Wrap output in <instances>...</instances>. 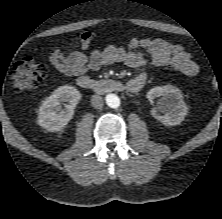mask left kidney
I'll list each match as a JSON object with an SVG mask.
<instances>
[{
	"label": "left kidney",
	"instance_id": "5707ae66",
	"mask_svg": "<svg viewBox=\"0 0 222 219\" xmlns=\"http://www.w3.org/2000/svg\"><path fill=\"white\" fill-rule=\"evenodd\" d=\"M160 96L162 98L158 102L157 107L151 110L152 116L166 126L180 124L188 110L180 89L171 85L157 86L150 89L147 93L149 100Z\"/></svg>",
	"mask_w": 222,
	"mask_h": 219
}]
</instances>
